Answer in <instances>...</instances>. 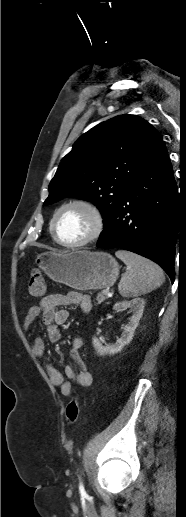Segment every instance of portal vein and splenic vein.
<instances>
[{
  "label": "portal vein and splenic vein",
  "instance_id": "portal-vein-and-splenic-vein-1",
  "mask_svg": "<svg viewBox=\"0 0 186 517\" xmlns=\"http://www.w3.org/2000/svg\"><path fill=\"white\" fill-rule=\"evenodd\" d=\"M103 292L108 295V296H111V293L109 292V290H103Z\"/></svg>",
  "mask_w": 186,
  "mask_h": 517
}]
</instances>
